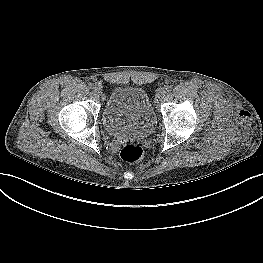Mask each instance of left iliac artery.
<instances>
[{
    "instance_id": "obj_1",
    "label": "left iliac artery",
    "mask_w": 263,
    "mask_h": 263,
    "mask_svg": "<svg viewBox=\"0 0 263 263\" xmlns=\"http://www.w3.org/2000/svg\"><path fill=\"white\" fill-rule=\"evenodd\" d=\"M162 92H163L164 94H168V93L170 92V89H169L168 87H164V88L162 89Z\"/></svg>"
}]
</instances>
